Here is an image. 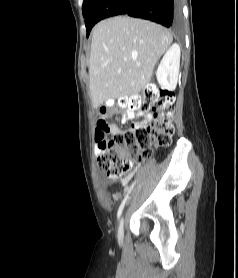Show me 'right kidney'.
Segmentation results:
<instances>
[{
  "label": "right kidney",
  "instance_id": "obj_1",
  "mask_svg": "<svg viewBox=\"0 0 238 278\" xmlns=\"http://www.w3.org/2000/svg\"><path fill=\"white\" fill-rule=\"evenodd\" d=\"M180 66V47L173 44L163 56L157 72V80L161 87L173 90L176 87Z\"/></svg>",
  "mask_w": 238,
  "mask_h": 278
}]
</instances>
